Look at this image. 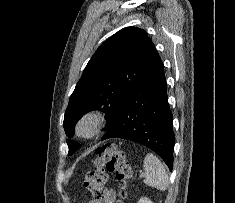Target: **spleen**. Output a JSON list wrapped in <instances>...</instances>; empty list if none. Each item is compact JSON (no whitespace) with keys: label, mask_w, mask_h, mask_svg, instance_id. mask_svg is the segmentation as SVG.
<instances>
[{"label":"spleen","mask_w":235,"mask_h":203,"mask_svg":"<svg viewBox=\"0 0 235 203\" xmlns=\"http://www.w3.org/2000/svg\"><path fill=\"white\" fill-rule=\"evenodd\" d=\"M143 167L145 170L144 183L159 190H166L169 185V177L161 161L153 154L145 156Z\"/></svg>","instance_id":"obj_1"}]
</instances>
